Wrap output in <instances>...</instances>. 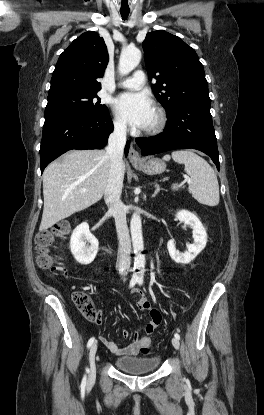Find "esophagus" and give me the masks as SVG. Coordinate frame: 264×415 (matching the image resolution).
I'll list each match as a JSON object with an SVG mask.
<instances>
[{
  "label": "esophagus",
  "instance_id": "obj_1",
  "mask_svg": "<svg viewBox=\"0 0 264 415\" xmlns=\"http://www.w3.org/2000/svg\"><path fill=\"white\" fill-rule=\"evenodd\" d=\"M128 158H129V161H130L131 163H137V162H139V161H140V154H139V152L135 149V147H134V145H133V142H132V144H131V147H130V150H129V153H128Z\"/></svg>",
  "mask_w": 264,
  "mask_h": 415
}]
</instances>
